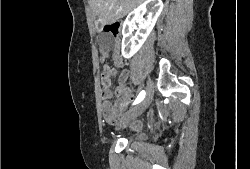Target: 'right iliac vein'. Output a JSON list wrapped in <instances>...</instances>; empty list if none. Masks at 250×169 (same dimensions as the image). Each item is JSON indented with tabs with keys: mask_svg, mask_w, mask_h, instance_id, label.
Wrapping results in <instances>:
<instances>
[{
	"mask_svg": "<svg viewBox=\"0 0 250 169\" xmlns=\"http://www.w3.org/2000/svg\"><path fill=\"white\" fill-rule=\"evenodd\" d=\"M153 94H154L153 82L151 80H148L146 96L144 97L143 101L140 102L136 107H134L130 111L126 112L121 118L119 125L120 126L126 125L128 120L140 116L150 105L153 98Z\"/></svg>",
	"mask_w": 250,
	"mask_h": 169,
	"instance_id": "63e3f726",
	"label": "right iliac vein"
}]
</instances>
